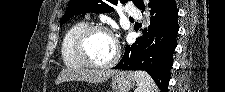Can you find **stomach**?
<instances>
[{
    "mask_svg": "<svg viewBox=\"0 0 225 92\" xmlns=\"http://www.w3.org/2000/svg\"><path fill=\"white\" fill-rule=\"evenodd\" d=\"M136 84L134 73L131 71H118L112 77L113 92H128Z\"/></svg>",
    "mask_w": 225,
    "mask_h": 92,
    "instance_id": "stomach-1",
    "label": "stomach"
}]
</instances>
